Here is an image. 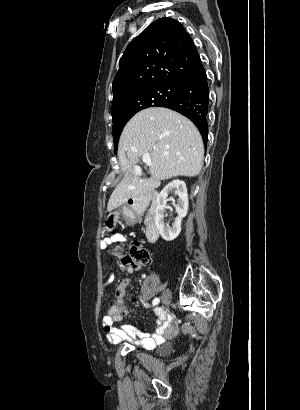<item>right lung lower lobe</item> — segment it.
<instances>
[{
	"mask_svg": "<svg viewBox=\"0 0 300 410\" xmlns=\"http://www.w3.org/2000/svg\"><path fill=\"white\" fill-rule=\"evenodd\" d=\"M161 107L175 110L189 118L200 131L204 144L207 143L209 109V86L203 65L182 85L180 91Z\"/></svg>",
	"mask_w": 300,
	"mask_h": 410,
	"instance_id": "right-lung-lower-lobe-1",
	"label": "right lung lower lobe"
}]
</instances>
